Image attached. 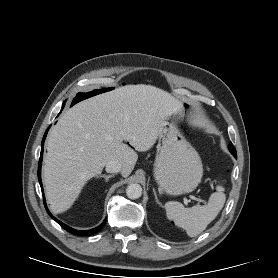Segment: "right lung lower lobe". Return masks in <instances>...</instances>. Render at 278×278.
I'll list each match as a JSON object with an SVG mask.
<instances>
[{"mask_svg":"<svg viewBox=\"0 0 278 278\" xmlns=\"http://www.w3.org/2000/svg\"><path fill=\"white\" fill-rule=\"evenodd\" d=\"M64 107V106H63ZM62 107V109H63ZM47 131L48 129L46 130L45 134H44V137H43V140H42V144H41V155H40V159H39V165H38V179H39V183H40V186H41V189H42V193H43V187H42V182H41V163H42V156H43V148H44V140H45V137H46V134H47ZM44 205H45V208L48 212V214L58 223L61 225V227H63L65 230H67L68 232L70 233H73V234H76V235H81V236H89V235H92V234H95L96 232H98L105 224V221L99 225L98 227L94 228V229H91V230H86V231H82V230H75L65 224H63L61 221H59L58 219H56L54 216L51 215V213L49 212V210L47 209V206H46V203H45V199H44Z\"/></svg>","mask_w":278,"mask_h":278,"instance_id":"right-lung-lower-lobe-1","label":"right lung lower lobe"}]
</instances>
